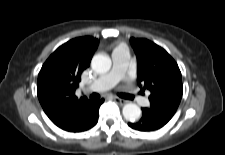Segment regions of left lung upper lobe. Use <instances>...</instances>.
<instances>
[{"instance_id": "5c2ea615", "label": "left lung upper lobe", "mask_w": 225, "mask_h": 155, "mask_svg": "<svg viewBox=\"0 0 225 155\" xmlns=\"http://www.w3.org/2000/svg\"><path fill=\"white\" fill-rule=\"evenodd\" d=\"M131 46L137 56L138 85L142 90L151 92L148 109H161L175 114L183 93L177 63L163 48L147 39L131 38Z\"/></svg>"}]
</instances>
